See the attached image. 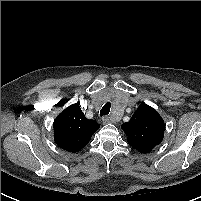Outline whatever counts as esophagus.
<instances>
[{"label":"esophagus","mask_w":201,"mask_h":201,"mask_svg":"<svg viewBox=\"0 0 201 201\" xmlns=\"http://www.w3.org/2000/svg\"><path fill=\"white\" fill-rule=\"evenodd\" d=\"M117 121H118V120H117ZM102 122H103V124H108V123L111 122V119H110V117H103V118H102Z\"/></svg>","instance_id":"1"}]
</instances>
